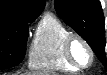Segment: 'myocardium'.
Segmentation results:
<instances>
[{"instance_id":"1","label":"myocardium","mask_w":107,"mask_h":75,"mask_svg":"<svg viewBox=\"0 0 107 75\" xmlns=\"http://www.w3.org/2000/svg\"><path fill=\"white\" fill-rule=\"evenodd\" d=\"M75 41L81 42L87 48V50L89 52L90 59H89V62L85 65L79 63L73 56L72 45ZM63 50H64V55H65L66 60L72 66H74L78 69H88L89 67L92 66V64L94 62L95 55H94L93 48L91 47L89 42L79 34L70 33L64 40Z\"/></svg>"}]
</instances>
